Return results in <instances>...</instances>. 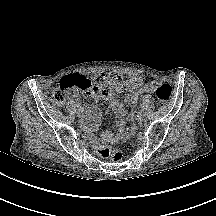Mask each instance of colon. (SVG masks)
<instances>
[{"mask_svg": "<svg viewBox=\"0 0 216 216\" xmlns=\"http://www.w3.org/2000/svg\"><path fill=\"white\" fill-rule=\"evenodd\" d=\"M103 83L101 77L95 79L94 84L79 74H71L63 77L58 86L49 94L48 99L56 106H62L70 97L79 93H90ZM154 91L156 96L161 101H169L173 94V89L168 84L155 83ZM99 155L112 159L114 162H119L123 159V152L109 145H100L97 148Z\"/></svg>", "mask_w": 216, "mask_h": 216, "instance_id": "obj_1", "label": "colon"}]
</instances>
